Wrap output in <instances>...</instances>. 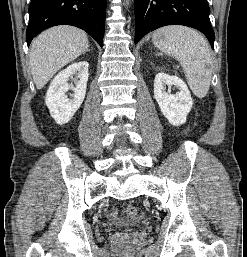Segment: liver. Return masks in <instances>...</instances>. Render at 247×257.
<instances>
[{
    "mask_svg": "<svg viewBox=\"0 0 247 257\" xmlns=\"http://www.w3.org/2000/svg\"><path fill=\"white\" fill-rule=\"evenodd\" d=\"M87 34L73 26H55L32 42L30 66L37 89H42L62 67L88 51Z\"/></svg>",
    "mask_w": 247,
    "mask_h": 257,
    "instance_id": "obj_1",
    "label": "liver"
}]
</instances>
